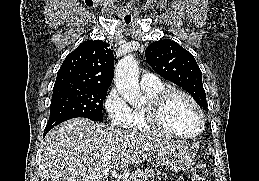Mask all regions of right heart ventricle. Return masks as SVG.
Instances as JSON below:
<instances>
[{
    "label": "right heart ventricle",
    "instance_id": "e07e8e85",
    "mask_svg": "<svg viewBox=\"0 0 259 181\" xmlns=\"http://www.w3.org/2000/svg\"><path fill=\"white\" fill-rule=\"evenodd\" d=\"M166 87V85L160 82L152 87L142 88V90L149 102L150 99ZM127 128L132 131L145 134H155L157 132L149 123L146 106L143 108L131 109L130 123Z\"/></svg>",
    "mask_w": 259,
    "mask_h": 181
}]
</instances>
